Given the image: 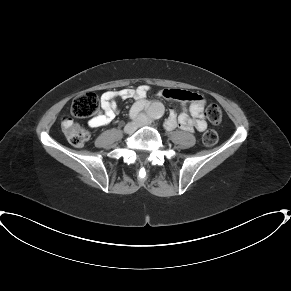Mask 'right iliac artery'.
I'll list each match as a JSON object with an SVG mask.
<instances>
[{
  "instance_id": "right-iliac-artery-1",
  "label": "right iliac artery",
  "mask_w": 291,
  "mask_h": 291,
  "mask_svg": "<svg viewBox=\"0 0 291 291\" xmlns=\"http://www.w3.org/2000/svg\"><path fill=\"white\" fill-rule=\"evenodd\" d=\"M139 111H140V110H139L138 108H136L135 106H133V107L131 108L130 112H129V117H130V119H135V118L137 117Z\"/></svg>"
}]
</instances>
